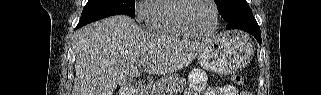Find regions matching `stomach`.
Listing matches in <instances>:
<instances>
[{"mask_svg": "<svg viewBox=\"0 0 321 95\" xmlns=\"http://www.w3.org/2000/svg\"><path fill=\"white\" fill-rule=\"evenodd\" d=\"M254 45L241 32H229L210 40L198 54L200 65L212 72H238L251 60Z\"/></svg>", "mask_w": 321, "mask_h": 95, "instance_id": "stomach-1", "label": "stomach"}]
</instances>
